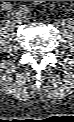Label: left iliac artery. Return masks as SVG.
<instances>
[{
    "mask_svg": "<svg viewBox=\"0 0 74 122\" xmlns=\"http://www.w3.org/2000/svg\"><path fill=\"white\" fill-rule=\"evenodd\" d=\"M20 9H21V11H22L23 13H25V14H28V13L30 12L29 7H27V6H23V7H21Z\"/></svg>",
    "mask_w": 74,
    "mask_h": 122,
    "instance_id": "obj_1",
    "label": "left iliac artery"
}]
</instances>
